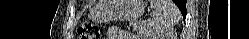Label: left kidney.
Returning a JSON list of instances; mask_svg holds the SVG:
<instances>
[{"label": "left kidney", "instance_id": "obj_1", "mask_svg": "<svg viewBox=\"0 0 249 39\" xmlns=\"http://www.w3.org/2000/svg\"><path fill=\"white\" fill-rule=\"evenodd\" d=\"M151 39H171V35L170 34H162L161 36H157L155 34H152Z\"/></svg>", "mask_w": 249, "mask_h": 39}]
</instances>
